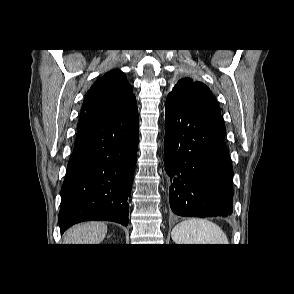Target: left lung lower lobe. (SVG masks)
<instances>
[{
	"label": "left lung lower lobe",
	"mask_w": 294,
	"mask_h": 294,
	"mask_svg": "<svg viewBox=\"0 0 294 294\" xmlns=\"http://www.w3.org/2000/svg\"><path fill=\"white\" fill-rule=\"evenodd\" d=\"M164 164L169 203L179 216L232 213L233 169L220 108L191 109L166 99Z\"/></svg>",
	"instance_id": "0a47b994"
}]
</instances>
